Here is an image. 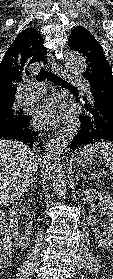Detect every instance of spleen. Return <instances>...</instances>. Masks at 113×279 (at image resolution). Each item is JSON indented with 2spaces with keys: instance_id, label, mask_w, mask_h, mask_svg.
Returning <instances> with one entry per match:
<instances>
[{
  "instance_id": "spleen-1",
  "label": "spleen",
  "mask_w": 113,
  "mask_h": 279,
  "mask_svg": "<svg viewBox=\"0 0 113 279\" xmlns=\"http://www.w3.org/2000/svg\"><path fill=\"white\" fill-rule=\"evenodd\" d=\"M86 148L98 152L113 174V142H95L88 145Z\"/></svg>"
}]
</instances>
